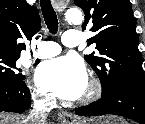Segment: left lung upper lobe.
Listing matches in <instances>:
<instances>
[{"mask_svg":"<svg viewBox=\"0 0 145 124\" xmlns=\"http://www.w3.org/2000/svg\"><path fill=\"white\" fill-rule=\"evenodd\" d=\"M85 13L82 29L96 35L100 56L85 55V60L97 73L102 95L122 85L145 89L142 58L138 50L136 20L129 0H74Z\"/></svg>","mask_w":145,"mask_h":124,"instance_id":"left-lung-upper-lobe-1","label":"left lung upper lobe"}]
</instances>
